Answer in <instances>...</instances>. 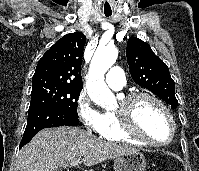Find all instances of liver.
Segmentation results:
<instances>
[{
    "label": "liver",
    "mask_w": 199,
    "mask_h": 171,
    "mask_svg": "<svg viewBox=\"0 0 199 171\" xmlns=\"http://www.w3.org/2000/svg\"><path fill=\"white\" fill-rule=\"evenodd\" d=\"M137 152L126 145L106 142L92 133L69 126L38 132L19 152L15 171H57L83 157L93 166L117 156Z\"/></svg>",
    "instance_id": "obj_1"
}]
</instances>
